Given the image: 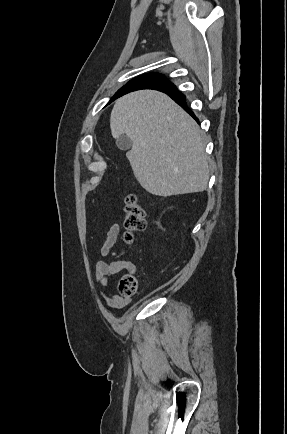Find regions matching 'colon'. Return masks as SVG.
I'll use <instances>...</instances> for the list:
<instances>
[{"mask_svg": "<svg viewBox=\"0 0 287 434\" xmlns=\"http://www.w3.org/2000/svg\"><path fill=\"white\" fill-rule=\"evenodd\" d=\"M125 240L134 242L136 234L146 228V214L136 194L128 193L124 204ZM138 290V281L133 275L123 276L118 283V292L123 298L133 297Z\"/></svg>", "mask_w": 287, "mask_h": 434, "instance_id": "colon-1", "label": "colon"}]
</instances>
